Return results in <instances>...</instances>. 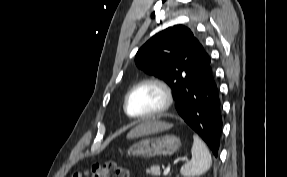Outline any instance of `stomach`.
Here are the masks:
<instances>
[{
	"instance_id": "obj_1",
	"label": "stomach",
	"mask_w": 287,
	"mask_h": 177,
	"mask_svg": "<svg viewBox=\"0 0 287 177\" xmlns=\"http://www.w3.org/2000/svg\"><path fill=\"white\" fill-rule=\"evenodd\" d=\"M181 146L180 138L174 135H165L156 138H145L134 143L128 154L133 156L152 157L160 155H172Z\"/></svg>"
}]
</instances>
